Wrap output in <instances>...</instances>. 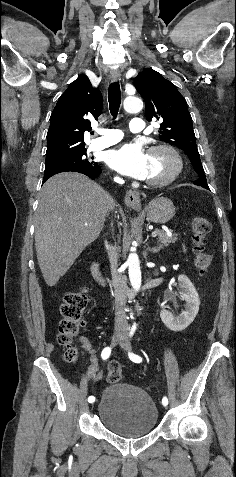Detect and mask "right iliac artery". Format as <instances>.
I'll list each match as a JSON object with an SVG mask.
<instances>
[{
	"instance_id": "82829eb1",
	"label": "right iliac artery",
	"mask_w": 236,
	"mask_h": 477,
	"mask_svg": "<svg viewBox=\"0 0 236 477\" xmlns=\"http://www.w3.org/2000/svg\"><path fill=\"white\" fill-rule=\"evenodd\" d=\"M110 354H111V348L110 347H105L102 350L101 357H102L103 360H107L109 358ZM87 402L90 405H94V404H96L97 401H96L94 396H89Z\"/></svg>"
}]
</instances>
